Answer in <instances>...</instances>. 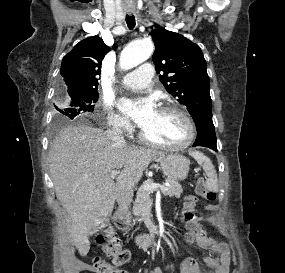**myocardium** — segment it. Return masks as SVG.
I'll return each mask as SVG.
<instances>
[{
  "label": "myocardium",
  "mask_w": 285,
  "mask_h": 273,
  "mask_svg": "<svg viewBox=\"0 0 285 273\" xmlns=\"http://www.w3.org/2000/svg\"><path fill=\"white\" fill-rule=\"evenodd\" d=\"M159 110L165 111V112H174L183 119V121L186 124V128H187V135L185 139L181 141L180 143H176V144L159 143V142H155L149 139L144 133V131L141 130L139 133L140 140L146 145L157 148V149L181 151V150L188 148L195 141V138L197 135L196 124L192 116L189 114V112L185 108L177 104H167V105L160 107Z\"/></svg>",
  "instance_id": "myocardium-1"
}]
</instances>
